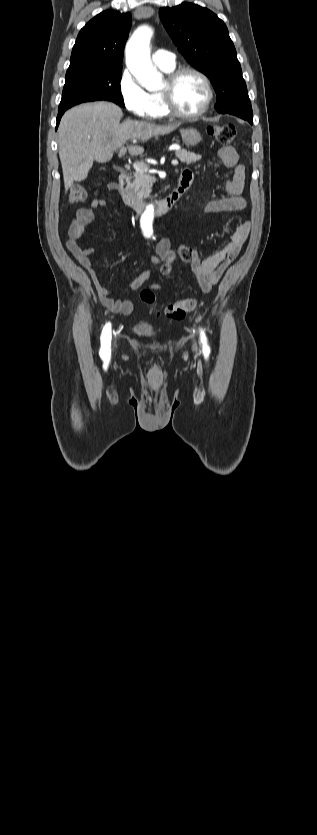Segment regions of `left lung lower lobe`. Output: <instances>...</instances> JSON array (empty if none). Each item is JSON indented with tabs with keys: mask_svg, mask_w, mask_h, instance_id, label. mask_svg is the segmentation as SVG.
Segmentation results:
<instances>
[{
	"mask_svg": "<svg viewBox=\"0 0 317 835\" xmlns=\"http://www.w3.org/2000/svg\"><path fill=\"white\" fill-rule=\"evenodd\" d=\"M225 113H227V114H231V115H235V116H237V117H240V118H242V119H244V120H247V121H248L249 123H251V124L253 123V118H252V116H246V115H243V114H240V113H237V112H225ZM225 113H223V114H225Z\"/></svg>",
	"mask_w": 317,
	"mask_h": 835,
	"instance_id": "obj_1",
	"label": "left lung lower lobe"
}]
</instances>
